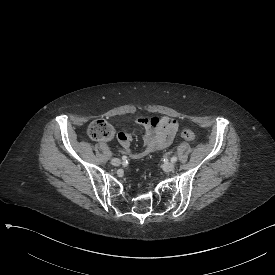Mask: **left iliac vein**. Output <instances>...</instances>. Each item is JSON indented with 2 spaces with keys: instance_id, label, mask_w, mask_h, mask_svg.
I'll list each match as a JSON object with an SVG mask.
<instances>
[{
  "instance_id": "1",
  "label": "left iliac vein",
  "mask_w": 275,
  "mask_h": 275,
  "mask_svg": "<svg viewBox=\"0 0 275 275\" xmlns=\"http://www.w3.org/2000/svg\"><path fill=\"white\" fill-rule=\"evenodd\" d=\"M174 168H175V164L173 162H168L163 166V170L165 172H171L174 170Z\"/></svg>"
}]
</instances>
